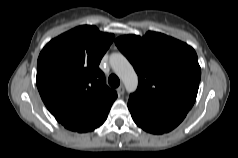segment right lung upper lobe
Instances as JSON below:
<instances>
[{"label":"right lung upper lobe","mask_w":238,"mask_h":158,"mask_svg":"<svg viewBox=\"0 0 238 158\" xmlns=\"http://www.w3.org/2000/svg\"><path fill=\"white\" fill-rule=\"evenodd\" d=\"M115 36L95 26L76 27L51 40L37 61L36 83L51 114L111 107L117 97L99 63Z\"/></svg>","instance_id":"obj_1"}]
</instances>
